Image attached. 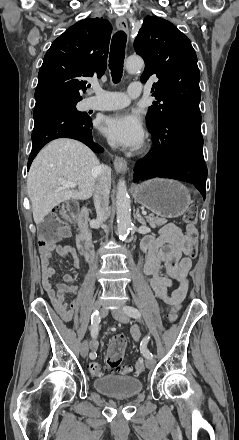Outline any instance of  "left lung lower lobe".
<instances>
[{
    "instance_id": "0a47b994",
    "label": "left lung lower lobe",
    "mask_w": 239,
    "mask_h": 440,
    "mask_svg": "<svg viewBox=\"0 0 239 440\" xmlns=\"http://www.w3.org/2000/svg\"><path fill=\"white\" fill-rule=\"evenodd\" d=\"M201 113L181 108L149 129L154 147L145 160L135 165V179L164 177L193 183L205 199L207 167L203 159Z\"/></svg>"
}]
</instances>
